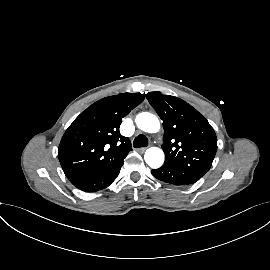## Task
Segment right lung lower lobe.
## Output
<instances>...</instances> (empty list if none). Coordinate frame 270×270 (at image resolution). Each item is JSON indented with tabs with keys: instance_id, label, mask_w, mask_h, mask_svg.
Returning a JSON list of instances; mask_svg holds the SVG:
<instances>
[{
	"instance_id": "1",
	"label": "right lung lower lobe",
	"mask_w": 270,
	"mask_h": 270,
	"mask_svg": "<svg viewBox=\"0 0 270 270\" xmlns=\"http://www.w3.org/2000/svg\"><path fill=\"white\" fill-rule=\"evenodd\" d=\"M122 165L123 162L113 169L75 179L71 183L78 189L86 192H95L104 189L117 178Z\"/></svg>"
}]
</instances>
